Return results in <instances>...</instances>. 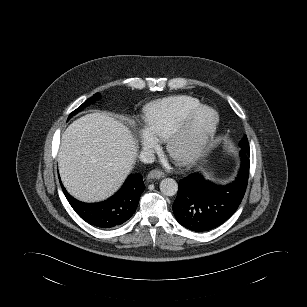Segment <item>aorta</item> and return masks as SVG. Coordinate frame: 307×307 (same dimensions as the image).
Segmentation results:
<instances>
[{"label": "aorta", "mask_w": 307, "mask_h": 307, "mask_svg": "<svg viewBox=\"0 0 307 307\" xmlns=\"http://www.w3.org/2000/svg\"><path fill=\"white\" fill-rule=\"evenodd\" d=\"M160 190L166 196H174L178 191V184L172 178H165L160 183Z\"/></svg>", "instance_id": "762f6f07"}]
</instances>
